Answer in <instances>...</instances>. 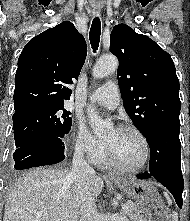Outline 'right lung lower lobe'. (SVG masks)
Returning a JSON list of instances; mask_svg holds the SVG:
<instances>
[{
	"label": "right lung lower lobe",
	"mask_w": 190,
	"mask_h": 221,
	"mask_svg": "<svg viewBox=\"0 0 190 221\" xmlns=\"http://www.w3.org/2000/svg\"><path fill=\"white\" fill-rule=\"evenodd\" d=\"M13 158L17 170L55 164L65 158L64 143L60 137H41L17 148Z\"/></svg>",
	"instance_id": "1"
}]
</instances>
